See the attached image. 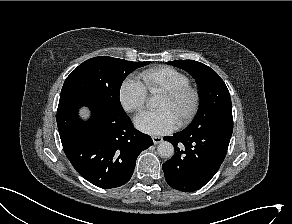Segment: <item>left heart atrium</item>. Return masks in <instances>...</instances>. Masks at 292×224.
Masks as SVG:
<instances>
[{"label":"left heart atrium","mask_w":292,"mask_h":224,"mask_svg":"<svg viewBox=\"0 0 292 224\" xmlns=\"http://www.w3.org/2000/svg\"><path fill=\"white\" fill-rule=\"evenodd\" d=\"M134 124L140 131L150 135H162L171 132L177 121L167 109L145 111L134 119Z\"/></svg>","instance_id":"obj_1"}]
</instances>
